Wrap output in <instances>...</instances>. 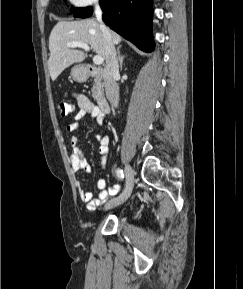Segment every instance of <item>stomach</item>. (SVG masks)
Here are the masks:
<instances>
[{
	"label": "stomach",
	"mask_w": 243,
	"mask_h": 289,
	"mask_svg": "<svg viewBox=\"0 0 243 289\" xmlns=\"http://www.w3.org/2000/svg\"><path fill=\"white\" fill-rule=\"evenodd\" d=\"M71 76L77 82H84L87 79V72L83 66H74L71 69Z\"/></svg>",
	"instance_id": "1"
}]
</instances>
